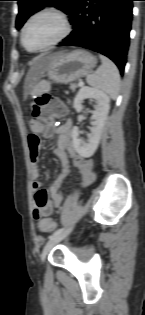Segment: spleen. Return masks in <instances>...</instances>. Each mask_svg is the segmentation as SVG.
Listing matches in <instances>:
<instances>
[{
    "mask_svg": "<svg viewBox=\"0 0 145 315\" xmlns=\"http://www.w3.org/2000/svg\"><path fill=\"white\" fill-rule=\"evenodd\" d=\"M102 65L97 71L87 76V83L101 90L112 99H116L120 91V74L116 65L107 57L100 55Z\"/></svg>",
    "mask_w": 145,
    "mask_h": 315,
    "instance_id": "obj_1",
    "label": "spleen"
}]
</instances>
